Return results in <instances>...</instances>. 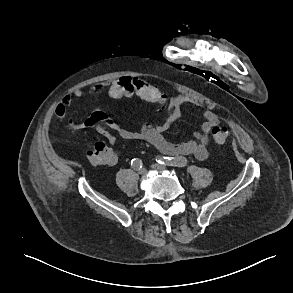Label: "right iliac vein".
<instances>
[{
  "instance_id": "63e3f726",
  "label": "right iliac vein",
  "mask_w": 293,
  "mask_h": 293,
  "mask_svg": "<svg viewBox=\"0 0 293 293\" xmlns=\"http://www.w3.org/2000/svg\"><path fill=\"white\" fill-rule=\"evenodd\" d=\"M139 174H145L146 173V169L145 168H141L138 170Z\"/></svg>"
}]
</instances>
